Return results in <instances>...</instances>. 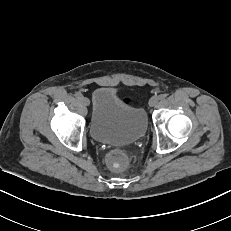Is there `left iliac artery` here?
<instances>
[{"label":"left iliac artery","mask_w":231,"mask_h":231,"mask_svg":"<svg viewBox=\"0 0 231 231\" xmlns=\"http://www.w3.org/2000/svg\"><path fill=\"white\" fill-rule=\"evenodd\" d=\"M158 97L159 99H164L166 97V94H160Z\"/></svg>","instance_id":"44dca946"}]
</instances>
